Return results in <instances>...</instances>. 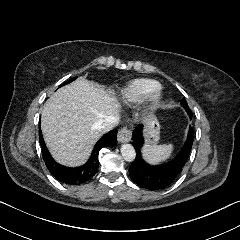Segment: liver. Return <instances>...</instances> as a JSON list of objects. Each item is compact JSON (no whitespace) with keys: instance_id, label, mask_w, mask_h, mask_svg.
<instances>
[{"instance_id":"6515ba94","label":"liver","mask_w":240,"mask_h":240,"mask_svg":"<svg viewBox=\"0 0 240 240\" xmlns=\"http://www.w3.org/2000/svg\"><path fill=\"white\" fill-rule=\"evenodd\" d=\"M120 110L115 96L83 77L58 89L41 116V130L53 158L71 167L84 164L103 133L96 123L108 115L119 116Z\"/></svg>"}]
</instances>
